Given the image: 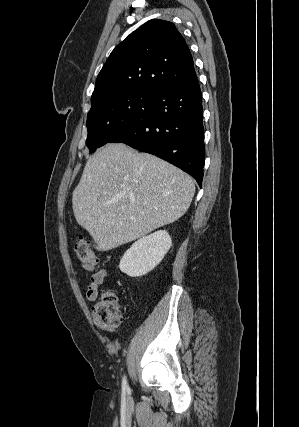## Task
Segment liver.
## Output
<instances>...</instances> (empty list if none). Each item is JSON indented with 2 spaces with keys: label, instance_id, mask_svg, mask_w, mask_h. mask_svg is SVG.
<instances>
[{
  "label": "liver",
  "instance_id": "1",
  "mask_svg": "<svg viewBox=\"0 0 299 427\" xmlns=\"http://www.w3.org/2000/svg\"><path fill=\"white\" fill-rule=\"evenodd\" d=\"M194 193L193 179L179 168L113 143L88 159L72 208L96 249L108 251L178 220Z\"/></svg>",
  "mask_w": 299,
  "mask_h": 427
}]
</instances>
